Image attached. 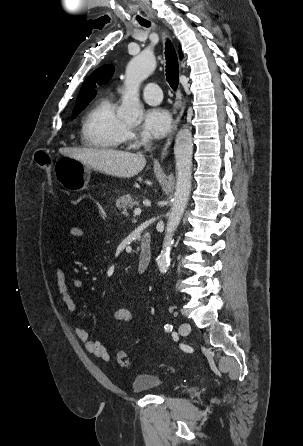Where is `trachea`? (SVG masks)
<instances>
[{
    "label": "trachea",
    "mask_w": 303,
    "mask_h": 446,
    "mask_svg": "<svg viewBox=\"0 0 303 446\" xmlns=\"http://www.w3.org/2000/svg\"><path fill=\"white\" fill-rule=\"evenodd\" d=\"M141 25L149 27L150 22L144 21L141 22ZM165 56H166V80L169 83L170 87L175 91L178 87V82H179V65L175 49L169 40L166 41Z\"/></svg>",
    "instance_id": "3493384b"
}]
</instances>
